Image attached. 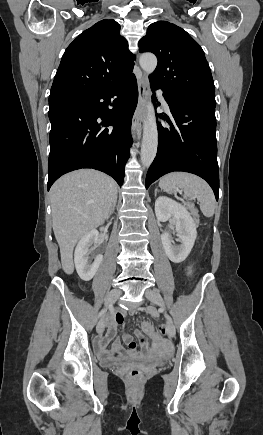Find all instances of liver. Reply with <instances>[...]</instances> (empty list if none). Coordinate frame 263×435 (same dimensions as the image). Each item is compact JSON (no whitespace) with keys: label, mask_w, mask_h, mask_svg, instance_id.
<instances>
[{"label":"liver","mask_w":263,"mask_h":435,"mask_svg":"<svg viewBox=\"0 0 263 435\" xmlns=\"http://www.w3.org/2000/svg\"><path fill=\"white\" fill-rule=\"evenodd\" d=\"M50 194L53 231L60 247L62 269L72 274L75 244L109 217L117 200V184L106 174L81 169L58 179Z\"/></svg>","instance_id":"liver-1"}]
</instances>
